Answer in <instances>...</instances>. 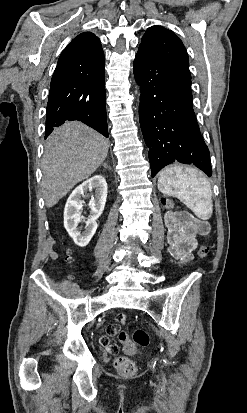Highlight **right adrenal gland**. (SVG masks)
I'll list each match as a JSON object with an SVG mask.
<instances>
[{
    "mask_svg": "<svg viewBox=\"0 0 247 413\" xmlns=\"http://www.w3.org/2000/svg\"><path fill=\"white\" fill-rule=\"evenodd\" d=\"M103 166H105V168H110V166H108L107 162H103Z\"/></svg>",
    "mask_w": 247,
    "mask_h": 413,
    "instance_id": "obj_1",
    "label": "right adrenal gland"
}]
</instances>
